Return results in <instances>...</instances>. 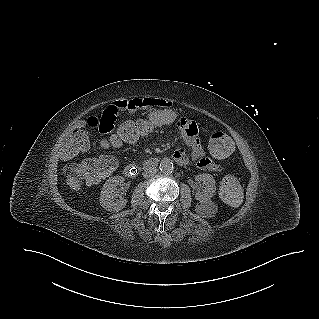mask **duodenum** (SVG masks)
Listing matches in <instances>:
<instances>
[{
  "instance_id": "obj_1",
  "label": "duodenum",
  "mask_w": 319,
  "mask_h": 319,
  "mask_svg": "<svg viewBox=\"0 0 319 319\" xmlns=\"http://www.w3.org/2000/svg\"><path fill=\"white\" fill-rule=\"evenodd\" d=\"M161 158L159 156L150 157L143 165L145 170H152L156 168L160 163ZM124 175L129 178H134L138 174V167L134 164H127L123 169Z\"/></svg>"
}]
</instances>
